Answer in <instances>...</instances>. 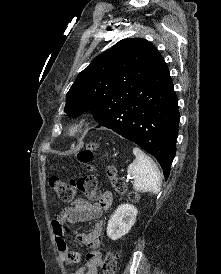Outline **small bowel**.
<instances>
[{
  "label": "small bowel",
  "instance_id": "1",
  "mask_svg": "<svg viewBox=\"0 0 221 274\" xmlns=\"http://www.w3.org/2000/svg\"><path fill=\"white\" fill-rule=\"evenodd\" d=\"M112 202L113 195L110 191H105L98 202L79 199L59 212L52 221L58 253L68 266L76 269L73 274H98L102 266L101 253L98 251L99 237L104 229V222L100 218L102 213L111 207ZM88 220H96L92 231L76 234V239L91 250L83 262L78 252L68 248L64 226L67 223H82Z\"/></svg>",
  "mask_w": 221,
  "mask_h": 274
}]
</instances>
